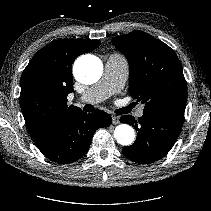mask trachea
Returning a JSON list of instances; mask_svg holds the SVG:
<instances>
[{
  "label": "trachea",
  "instance_id": "3493384b",
  "mask_svg": "<svg viewBox=\"0 0 211 211\" xmlns=\"http://www.w3.org/2000/svg\"><path fill=\"white\" fill-rule=\"evenodd\" d=\"M84 111H87V112H92L94 110V107L90 104H87L84 106Z\"/></svg>",
  "mask_w": 211,
  "mask_h": 211
}]
</instances>
